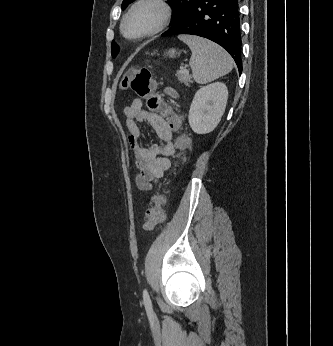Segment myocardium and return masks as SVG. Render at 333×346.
Here are the masks:
<instances>
[{"label":"myocardium","mask_w":333,"mask_h":346,"mask_svg":"<svg viewBox=\"0 0 333 346\" xmlns=\"http://www.w3.org/2000/svg\"><path fill=\"white\" fill-rule=\"evenodd\" d=\"M143 4H153L156 5L160 11H161V17L159 22L154 26L152 29L143 32L141 34L135 35V36H129L125 32V23L129 16L141 5ZM173 16V10L172 6L170 5L168 0H136L130 8L127 10V12L124 14L121 23H120V32L121 34L128 39H143L147 38L153 35H156L157 33L161 32L163 29H165L169 23L171 22Z\"/></svg>","instance_id":"f54148a6"}]
</instances>
